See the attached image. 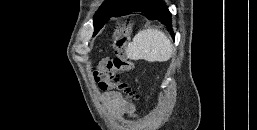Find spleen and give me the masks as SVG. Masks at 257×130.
Returning a JSON list of instances; mask_svg holds the SVG:
<instances>
[{
    "label": "spleen",
    "mask_w": 257,
    "mask_h": 130,
    "mask_svg": "<svg viewBox=\"0 0 257 130\" xmlns=\"http://www.w3.org/2000/svg\"><path fill=\"white\" fill-rule=\"evenodd\" d=\"M173 46L164 32L156 28L139 31L128 44L126 53L131 60L166 62L170 59Z\"/></svg>",
    "instance_id": "spleen-1"
}]
</instances>
